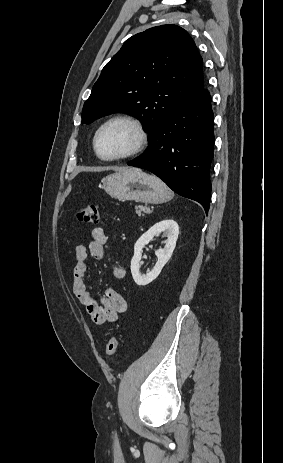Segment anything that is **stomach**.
Returning <instances> with one entry per match:
<instances>
[{
    "label": "stomach",
    "mask_w": 283,
    "mask_h": 463,
    "mask_svg": "<svg viewBox=\"0 0 283 463\" xmlns=\"http://www.w3.org/2000/svg\"><path fill=\"white\" fill-rule=\"evenodd\" d=\"M103 189L119 201L134 200L144 203H163L172 198L167 185L154 175L139 169H127L102 179Z\"/></svg>",
    "instance_id": "obj_1"
}]
</instances>
